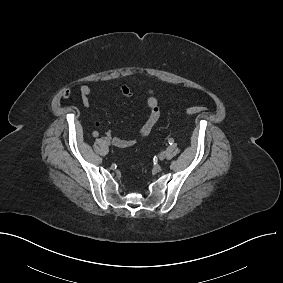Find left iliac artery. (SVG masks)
I'll return each mask as SVG.
<instances>
[{"mask_svg":"<svg viewBox=\"0 0 283 283\" xmlns=\"http://www.w3.org/2000/svg\"><path fill=\"white\" fill-rule=\"evenodd\" d=\"M168 142H169V144H173V143H174V140H173L172 138H170V139L168 140Z\"/></svg>","mask_w":283,"mask_h":283,"instance_id":"obj_1","label":"left iliac artery"}]
</instances>
